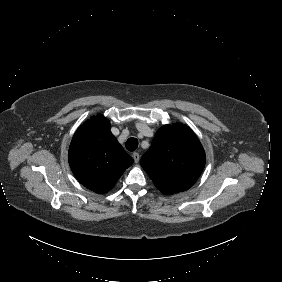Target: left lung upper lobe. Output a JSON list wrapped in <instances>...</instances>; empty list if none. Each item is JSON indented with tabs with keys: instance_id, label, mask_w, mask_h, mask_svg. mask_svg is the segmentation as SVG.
<instances>
[{
	"instance_id": "obj_1",
	"label": "left lung upper lobe",
	"mask_w": 282,
	"mask_h": 282,
	"mask_svg": "<svg viewBox=\"0 0 282 282\" xmlns=\"http://www.w3.org/2000/svg\"><path fill=\"white\" fill-rule=\"evenodd\" d=\"M205 162L200 141L184 124L161 127L140 160L154 185L166 195L192 187L202 173Z\"/></svg>"
}]
</instances>
